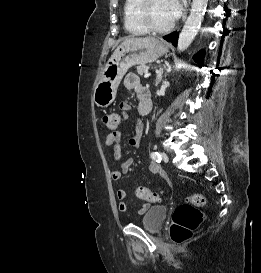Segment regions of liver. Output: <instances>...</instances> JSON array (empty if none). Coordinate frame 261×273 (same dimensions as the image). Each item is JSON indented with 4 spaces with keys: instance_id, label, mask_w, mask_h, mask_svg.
Returning <instances> with one entry per match:
<instances>
[{
    "instance_id": "liver-1",
    "label": "liver",
    "mask_w": 261,
    "mask_h": 273,
    "mask_svg": "<svg viewBox=\"0 0 261 273\" xmlns=\"http://www.w3.org/2000/svg\"><path fill=\"white\" fill-rule=\"evenodd\" d=\"M134 39H137V38H129V39H126L123 43L129 42V41L134 40Z\"/></svg>"
}]
</instances>
